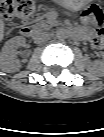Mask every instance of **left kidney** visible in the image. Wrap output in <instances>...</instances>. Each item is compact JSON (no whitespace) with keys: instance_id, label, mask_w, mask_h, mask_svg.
<instances>
[{"instance_id":"5707ae66","label":"left kidney","mask_w":104,"mask_h":137,"mask_svg":"<svg viewBox=\"0 0 104 137\" xmlns=\"http://www.w3.org/2000/svg\"><path fill=\"white\" fill-rule=\"evenodd\" d=\"M103 67H104L103 61H95L94 62V68L95 69L103 70Z\"/></svg>"}]
</instances>
